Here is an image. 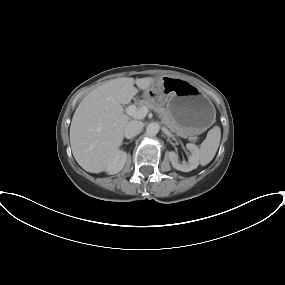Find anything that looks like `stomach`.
I'll list each match as a JSON object with an SVG mask.
<instances>
[{"instance_id": "stomach-1", "label": "stomach", "mask_w": 285, "mask_h": 285, "mask_svg": "<svg viewBox=\"0 0 285 285\" xmlns=\"http://www.w3.org/2000/svg\"><path fill=\"white\" fill-rule=\"evenodd\" d=\"M143 97L166 110L174 124L189 135H199L215 121V108L198 87L187 80L164 76L145 90Z\"/></svg>"}]
</instances>
